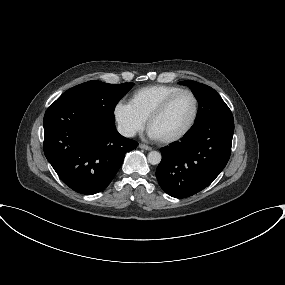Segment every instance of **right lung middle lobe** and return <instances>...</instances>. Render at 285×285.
<instances>
[{"label":"right lung middle lobe","instance_id":"dd1d6c3e","mask_svg":"<svg viewBox=\"0 0 285 285\" xmlns=\"http://www.w3.org/2000/svg\"><path fill=\"white\" fill-rule=\"evenodd\" d=\"M134 83L107 84L89 81L64 92L56 101L79 107L100 119L115 122L114 109Z\"/></svg>","mask_w":285,"mask_h":285}]
</instances>
